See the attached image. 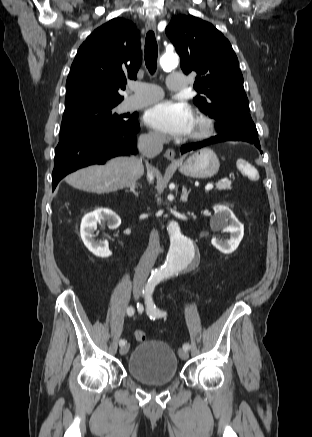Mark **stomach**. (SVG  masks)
Listing matches in <instances>:
<instances>
[{
	"label": "stomach",
	"instance_id": "stomach-1",
	"mask_svg": "<svg viewBox=\"0 0 312 437\" xmlns=\"http://www.w3.org/2000/svg\"><path fill=\"white\" fill-rule=\"evenodd\" d=\"M181 174L192 178H209L217 174L220 163L210 148L200 149L185 156L177 164Z\"/></svg>",
	"mask_w": 312,
	"mask_h": 437
}]
</instances>
